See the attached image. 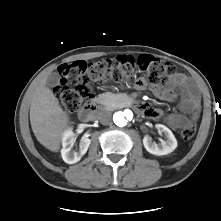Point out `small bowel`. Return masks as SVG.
<instances>
[{"instance_id":"c3829d8e","label":"small bowel","mask_w":221,"mask_h":221,"mask_svg":"<svg viewBox=\"0 0 221 221\" xmlns=\"http://www.w3.org/2000/svg\"><path fill=\"white\" fill-rule=\"evenodd\" d=\"M137 85L142 87L144 86V82L139 80L137 81ZM177 90L181 94V101L178 105L180 113H172L166 117L167 123L174 130L184 128L192 116L198 119L200 104L197 93L194 91L189 78L181 73L174 75L169 80L167 86L152 88L156 97L166 101L173 100L177 95ZM142 110L147 116L152 118H158L162 115L160 110L148 105H142Z\"/></svg>"}]
</instances>
